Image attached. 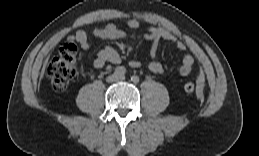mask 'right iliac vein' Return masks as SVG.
Instances as JSON below:
<instances>
[{"instance_id":"63e3f726","label":"right iliac vein","mask_w":259,"mask_h":156,"mask_svg":"<svg viewBox=\"0 0 259 156\" xmlns=\"http://www.w3.org/2000/svg\"><path fill=\"white\" fill-rule=\"evenodd\" d=\"M118 80V76L116 74H112L107 77V82L112 83Z\"/></svg>"}]
</instances>
